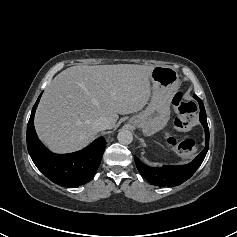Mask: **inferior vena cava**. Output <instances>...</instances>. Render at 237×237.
Segmentation results:
<instances>
[{"label": "inferior vena cava", "instance_id": "inferior-vena-cava-1", "mask_svg": "<svg viewBox=\"0 0 237 237\" xmlns=\"http://www.w3.org/2000/svg\"><path fill=\"white\" fill-rule=\"evenodd\" d=\"M93 127L97 131H102L110 128V121L106 117H99L93 122Z\"/></svg>", "mask_w": 237, "mask_h": 237}]
</instances>
